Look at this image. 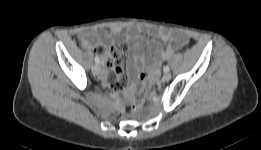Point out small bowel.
<instances>
[{
    "label": "small bowel",
    "mask_w": 261,
    "mask_h": 150,
    "mask_svg": "<svg viewBox=\"0 0 261 150\" xmlns=\"http://www.w3.org/2000/svg\"><path fill=\"white\" fill-rule=\"evenodd\" d=\"M78 40L87 50H96L104 57L105 80L112 89H120L123 76L117 65L119 54L116 44L124 43L128 47V73L132 82L138 78L141 69H148L151 77L156 78L160 62L169 59L179 48L187 43V36L180 31L166 28L132 26L123 29L113 26L109 33L101 34L97 29H85L78 33ZM161 42L164 47H161ZM145 50L158 55V59L147 57Z\"/></svg>",
    "instance_id": "c3829d8e"
}]
</instances>
